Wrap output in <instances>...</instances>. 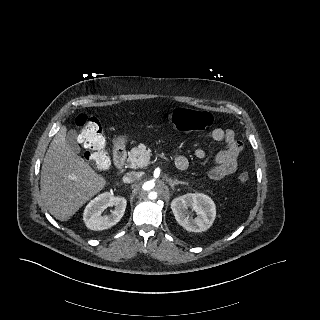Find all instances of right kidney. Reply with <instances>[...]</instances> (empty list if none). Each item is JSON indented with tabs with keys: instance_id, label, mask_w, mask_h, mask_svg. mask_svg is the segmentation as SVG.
I'll list each match as a JSON object with an SVG mask.
<instances>
[{
	"instance_id": "obj_1",
	"label": "right kidney",
	"mask_w": 320,
	"mask_h": 320,
	"mask_svg": "<svg viewBox=\"0 0 320 320\" xmlns=\"http://www.w3.org/2000/svg\"><path fill=\"white\" fill-rule=\"evenodd\" d=\"M127 201L123 197H115L109 192H104L86 206L83 213V220L87 228L91 230H105L117 224L123 217ZM114 206L115 209L110 215H102V212Z\"/></svg>"
}]
</instances>
